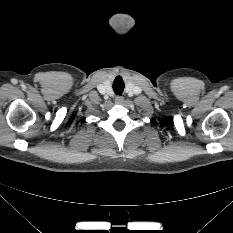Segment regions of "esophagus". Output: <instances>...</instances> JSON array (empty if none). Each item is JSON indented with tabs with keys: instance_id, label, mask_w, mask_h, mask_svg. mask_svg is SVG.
Instances as JSON below:
<instances>
[{
	"instance_id": "1",
	"label": "esophagus",
	"mask_w": 233,
	"mask_h": 233,
	"mask_svg": "<svg viewBox=\"0 0 233 233\" xmlns=\"http://www.w3.org/2000/svg\"><path fill=\"white\" fill-rule=\"evenodd\" d=\"M124 101V98L122 96L115 97V103L116 104H122Z\"/></svg>"
}]
</instances>
